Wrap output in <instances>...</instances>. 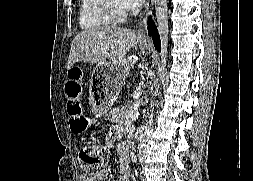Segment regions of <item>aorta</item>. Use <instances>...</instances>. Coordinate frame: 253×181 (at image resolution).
<instances>
[{"label": "aorta", "instance_id": "obj_1", "mask_svg": "<svg viewBox=\"0 0 253 181\" xmlns=\"http://www.w3.org/2000/svg\"><path fill=\"white\" fill-rule=\"evenodd\" d=\"M155 5V17L157 21V27L160 37V64L158 67V71L163 74L166 65H167V58H168V8H167V0H154ZM154 110L153 108L151 109ZM148 123L144 125V136L142 139V145H140V152L139 157H146L147 150L150 149V144L148 141L149 139V131L152 128L153 124V112H148Z\"/></svg>", "mask_w": 253, "mask_h": 181}]
</instances>
